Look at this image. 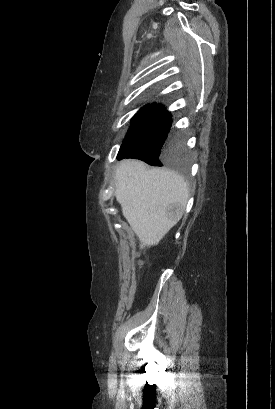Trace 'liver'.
I'll list each match as a JSON object with an SVG mask.
<instances>
[{
	"label": "liver",
	"instance_id": "obj_1",
	"mask_svg": "<svg viewBox=\"0 0 275 409\" xmlns=\"http://www.w3.org/2000/svg\"><path fill=\"white\" fill-rule=\"evenodd\" d=\"M115 174V196L123 217L140 241V249L158 245L177 223L170 221L166 209L186 205L187 182L175 170H147L141 160H121Z\"/></svg>",
	"mask_w": 275,
	"mask_h": 409
}]
</instances>
